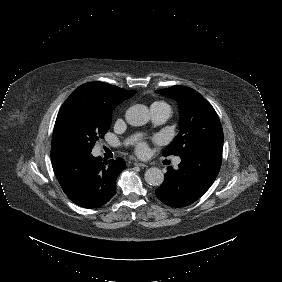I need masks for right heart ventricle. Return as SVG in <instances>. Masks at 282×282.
<instances>
[{
	"instance_id": "e07e8e85",
	"label": "right heart ventricle",
	"mask_w": 282,
	"mask_h": 282,
	"mask_svg": "<svg viewBox=\"0 0 282 282\" xmlns=\"http://www.w3.org/2000/svg\"><path fill=\"white\" fill-rule=\"evenodd\" d=\"M161 104H165L164 102H155L153 103V105H161Z\"/></svg>"
}]
</instances>
